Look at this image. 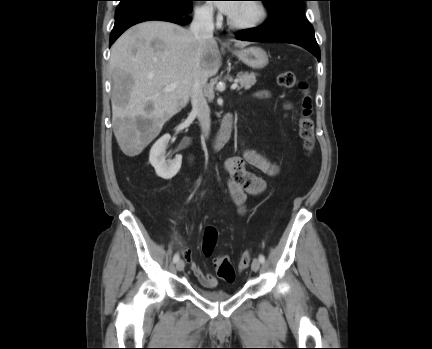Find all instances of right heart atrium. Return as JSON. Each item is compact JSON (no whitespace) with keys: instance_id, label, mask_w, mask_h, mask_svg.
Masks as SVG:
<instances>
[{"instance_id":"d8ad5b80","label":"right heart atrium","mask_w":432,"mask_h":349,"mask_svg":"<svg viewBox=\"0 0 432 349\" xmlns=\"http://www.w3.org/2000/svg\"><path fill=\"white\" fill-rule=\"evenodd\" d=\"M195 14L200 20L211 21L214 18V9L211 4H200L195 8Z\"/></svg>"}]
</instances>
